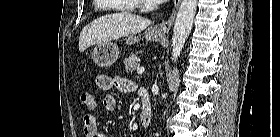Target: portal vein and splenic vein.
Masks as SVG:
<instances>
[{"mask_svg":"<svg viewBox=\"0 0 280 137\" xmlns=\"http://www.w3.org/2000/svg\"><path fill=\"white\" fill-rule=\"evenodd\" d=\"M145 68L144 67H138L137 68V73L142 74L144 72Z\"/></svg>","mask_w":280,"mask_h":137,"instance_id":"18ae733b","label":"portal vein and splenic vein"}]
</instances>
